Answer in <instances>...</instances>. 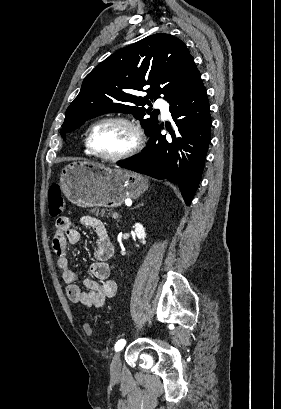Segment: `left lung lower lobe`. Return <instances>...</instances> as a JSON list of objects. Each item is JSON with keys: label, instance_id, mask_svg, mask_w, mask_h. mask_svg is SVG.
Here are the masks:
<instances>
[{"label": "left lung lower lobe", "instance_id": "left-lung-lower-lobe-1", "mask_svg": "<svg viewBox=\"0 0 281 409\" xmlns=\"http://www.w3.org/2000/svg\"><path fill=\"white\" fill-rule=\"evenodd\" d=\"M206 89L197 70L187 87L170 101V112L180 137L161 135L162 125L150 134L147 147L120 167L167 179L177 184L186 205L199 186L211 135V116Z\"/></svg>", "mask_w": 281, "mask_h": 409}]
</instances>
